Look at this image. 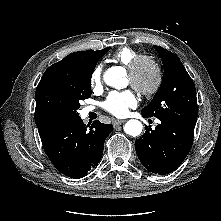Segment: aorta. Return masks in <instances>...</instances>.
Masks as SVG:
<instances>
[{
    "instance_id": "762f6f07",
    "label": "aorta",
    "mask_w": 221,
    "mask_h": 221,
    "mask_svg": "<svg viewBox=\"0 0 221 221\" xmlns=\"http://www.w3.org/2000/svg\"><path fill=\"white\" fill-rule=\"evenodd\" d=\"M104 81L107 85L116 89H122L126 86L125 72L119 67H111L104 73ZM143 129L142 123L131 119L124 125V132L131 136H138Z\"/></svg>"
}]
</instances>
